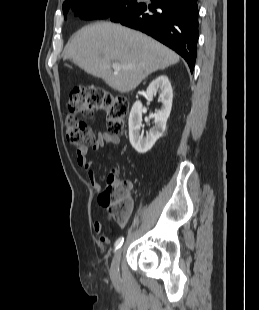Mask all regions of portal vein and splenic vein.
I'll return each mask as SVG.
<instances>
[{
  "instance_id": "1",
  "label": "portal vein and splenic vein",
  "mask_w": 259,
  "mask_h": 310,
  "mask_svg": "<svg viewBox=\"0 0 259 310\" xmlns=\"http://www.w3.org/2000/svg\"><path fill=\"white\" fill-rule=\"evenodd\" d=\"M112 67L114 70H120L122 68H124V69L130 68V66H123L118 62L113 63Z\"/></svg>"
}]
</instances>
